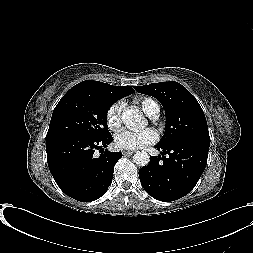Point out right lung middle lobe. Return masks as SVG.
I'll return each mask as SVG.
<instances>
[{
  "mask_svg": "<svg viewBox=\"0 0 253 253\" xmlns=\"http://www.w3.org/2000/svg\"><path fill=\"white\" fill-rule=\"evenodd\" d=\"M119 98L87 89L71 88L55 107L46 141L62 136L78 135L104 138L111 133L107 112Z\"/></svg>",
  "mask_w": 253,
  "mask_h": 253,
  "instance_id": "obj_1",
  "label": "right lung middle lobe"
}]
</instances>
